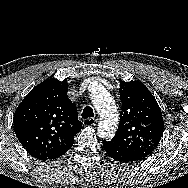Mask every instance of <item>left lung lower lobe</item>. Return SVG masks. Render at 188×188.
<instances>
[{
  "label": "left lung lower lobe",
  "mask_w": 188,
  "mask_h": 188,
  "mask_svg": "<svg viewBox=\"0 0 188 188\" xmlns=\"http://www.w3.org/2000/svg\"><path fill=\"white\" fill-rule=\"evenodd\" d=\"M103 148L106 151V153L115 161L128 163L135 162L138 160H144L140 158L138 155L134 154L133 152L125 150L117 146L116 144L112 143L111 141L103 140Z\"/></svg>",
  "instance_id": "left-lung-lower-lobe-1"
}]
</instances>
